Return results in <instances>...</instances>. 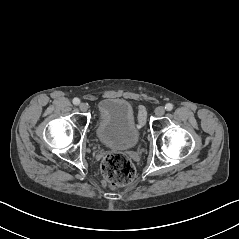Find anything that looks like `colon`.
<instances>
[{
    "label": "colon",
    "instance_id": "5ec220e1",
    "mask_svg": "<svg viewBox=\"0 0 239 239\" xmlns=\"http://www.w3.org/2000/svg\"><path fill=\"white\" fill-rule=\"evenodd\" d=\"M145 122V110L140 108L138 125ZM101 174L104 181L113 186L120 187L130 183L135 176V168L130 159L120 153L112 152L102 160Z\"/></svg>",
    "mask_w": 239,
    "mask_h": 239
}]
</instances>
